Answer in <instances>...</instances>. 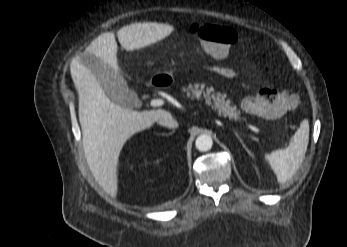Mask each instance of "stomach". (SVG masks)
I'll return each mask as SVG.
<instances>
[{
  "instance_id": "obj_1",
  "label": "stomach",
  "mask_w": 347,
  "mask_h": 247,
  "mask_svg": "<svg viewBox=\"0 0 347 247\" xmlns=\"http://www.w3.org/2000/svg\"><path fill=\"white\" fill-rule=\"evenodd\" d=\"M163 76H168V77H170L171 79L173 78V76H172V73L170 72V73H165V74H163Z\"/></svg>"
}]
</instances>
